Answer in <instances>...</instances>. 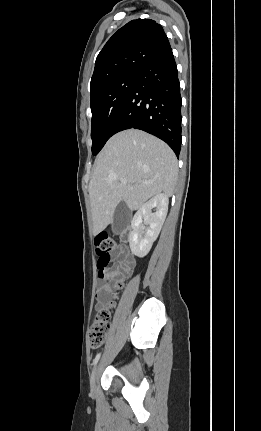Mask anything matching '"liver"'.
<instances>
[{"label":"liver","instance_id":"obj_1","mask_svg":"<svg viewBox=\"0 0 261 431\" xmlns=\"http://www.w3.org/2000/svg\"><path fill=\"white\" fill-rule=\"evenodd\" d=\"M177 181V159L165 142L137 129L115 134L96 158L89 183L94 235L112 222L120 202L137 210L161 192L172 196Z\"/></svg>","mask_w":261,"mask_h":431}]
</instances>
